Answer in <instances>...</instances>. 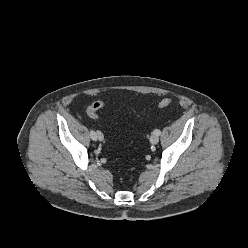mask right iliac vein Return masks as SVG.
<instances>
[{
	"label": "right iliac vein",
	"instance_id": "63e3f726",
	"mask_svg": "<svg viewBox=\"0 0 248 248\" xmlns=\"http://www.w3.org/2000/svg\"><path fill=\"white\" fill-rule=\"evenodd\" d=\"M96 134H97V137H96V138H97L98 140H100V141L103 140V135H102L101 132H97Z\"/></svg>",
	"mask_w": 248,
	"mask_h": 248
}]
</instances>
